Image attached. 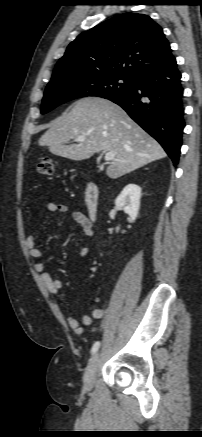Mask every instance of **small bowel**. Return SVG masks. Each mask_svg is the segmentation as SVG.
Listing matches in <instances>:
<instances>
[{"instance_id":"1","label":"small bowel","mask_w":202,"mask_h":437,"mask_svg":"<svg viewBox=\"0 0 202 437\" xmlns=\"http://www.w3.org/2000/svg\"><path fill=\"white\" fill-rule=\"evenodd\" d=\"M47 209L51 213H58V214H66L69 212V207L65 204H56L54 202H49L47 204ZM71 217L72 219L78 223L84 235L87 238V243L81 248L80 254L82 256H86L90 249V244L93 239V224L89 220V218L81 211L73 210L71 211ZM39 233L34 232L31 235H29L26 239V247L28 250L29 255L32 258L39 259L43 255V251L36 246V241L38 239ZM34 270L39 274V278L43 285L47 288V290L57 295L61 300L65 301L66 296L62 292L63 283L59 279H54L51 277L49 273L45 271V265L42 261L37 260L33 264ZM90 303V301H89ZM105 315V310L99 307H93L90 314H85L81 322L84 325H90L94 319H101ZM67 322L69 327L77 334L81 335L83 333V329L80 327L79 320L73 316L70 315L67 318Z\"/></svg>"}]
</instances>
